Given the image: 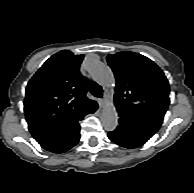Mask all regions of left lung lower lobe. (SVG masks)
I'll return each mask as SVG.
<instances>
[{"label": "left lung lower lobe", "mask_w": 194, "mask_h": 193, "mask_svg": "<svg viewBox=\"0 0 194 193\" xmlns=\"http://www.w3.org/2000/svg\"><path fill=\"white\" fill-rule=\"evenodd\" d=\"M119 125L108 133L114 143L125 148H137L145 144L160 128L153 122L118 111Z\"/></svg>", "instance_id": "0a47b994"}]
</instances>
